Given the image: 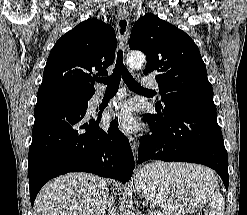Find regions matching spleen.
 I'll return each mask as SVG.
<instances>
[{
    "instance_id": "spleen-1",
    "label": "spleen",
    "mask_w": 247,
    "mask_h": 215,
    "mask_svg": "<svg viewBox=\"0 0 247 215\" xmlns=\"http://www.w3.org/2000/svg\"><path fill=\"white\" fill-rule=\"evenodd\" d=\"M209 174H213L210 170L208 171ZM215 189V188H214ZM212 190L210 196H209V215H224V198L222 194L219 191Z\"/></svg>"
}]
</instances>
